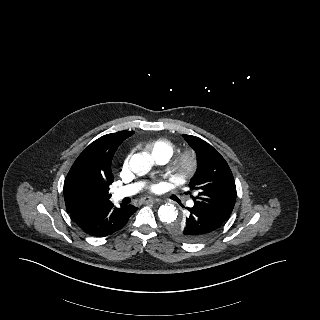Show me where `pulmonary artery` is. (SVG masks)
<instances>
[{
    "mask_svg": "<svg viewBox=\"0 0 320 320\" xmlns=\"http://www.w3.org/2000/svg\"><path fill=\"white\" fill-rule=\"evenodd\" d=\"M158 164H165L169 158L168 157H158L154 159ZM142 188V183H135V184H130L126 186H122L114 190L112 198L115 201L121 200L125 197L131 196L135 193H137L140 189ZM194 202L189 201L188 206L193 207Z\"/></svg>",
    "mask_w": 320,
    "mask_h": 320,
    "instance_id": "pulmonary-artery-1",
    "label": "pulmonary artery"
}]
</instances>
